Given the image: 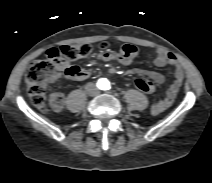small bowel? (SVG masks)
I'll return each instance as SVG.
<instances>
[{
	"label": "small bowel",
	"instance_id": "small-bowel-1",
	"mask_svg": "<svg viewBox=\"0 0 212 183\" xmlns=\"http://www.w3.org/2000/svg\"><path fill=\"white\" fill-rule=\"evenodd\" d=\"M136 54H137L136 47L127 44L122 46V48L118 52L116 53L107 52L102 54L101 57L105 60L116 59L121 64L128 65L135 58ZM152 64L157 68L170 65L174 70V81L168 88L166 95L164 96V98L154 103L151 107V112L157 115L168 109L173 104L174 99L176 98L178 91L182 85L184 79V72L178 59L172 53L164 49H158L156 51L155 56L152 58ZM57 69L58 71L61 72H66L69 69H74L75 70L74 75L70 76L69 78L77 81L85 80L90 76V73L88 71L82 70L75 65H70L67 62L61 63ZM135 73L146 76L148 78L147 80L151 81L152 83L155 82L161 84L164 83L166 80L164 74L156 71L137 69L135 70ZM58 78L59 74H56L54 79ZM50 103L53 110L55 111L62 110V108L64 107L63 95L61 93L56 92L52 93L50 96Z\"/></svg>",
	"mask_w": 212,
	"mask_h": 183
}]
</instances>
